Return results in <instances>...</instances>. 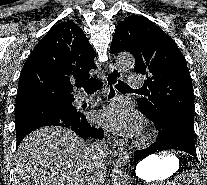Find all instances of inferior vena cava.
I'll use <instances>...</instances> for the list:
<instances>
[{
  "label": "inferior vena cava",
  "mask_w": 207,
  "mask_h": 185,
  "mask_svg": "<svg viewBox=\"0 0 207 185\" xmlns=\"http://www.w3.org/2000/svg\"><path fill=\"white\" fill-rule=\"evenodd\" d=\"M90 149H92V151H95L94 147H90ZM97 161H98V159H97V157L95 155V161H94V163H97ZM95 179H98V177H94V181H95ZM96 183H97V181H95V185H96ZM87 185H89V183H87Z\"/></svg>",
  "instance_id": "1"
}]
</instances>
